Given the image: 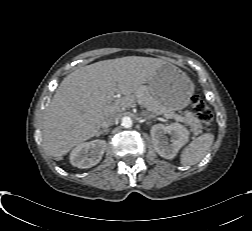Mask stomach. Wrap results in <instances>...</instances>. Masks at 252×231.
<instances>
[{
    "instance_id": "1",
    "label": "stomach",
    "mask_w": 252,
    "mask_h": 231,
    "mask_svg": "<svg viewBox=\"0 0 252 231\" xmlns=\"http://www.w3.org/2000/svg\"><path fill=\"white\" fill-rule=\"evenodd\" d=\"M148 90L162 110L175 112L190 104L194 84L180 69L165 63L149 78Z\"/></svg>"
}]
</instances>
